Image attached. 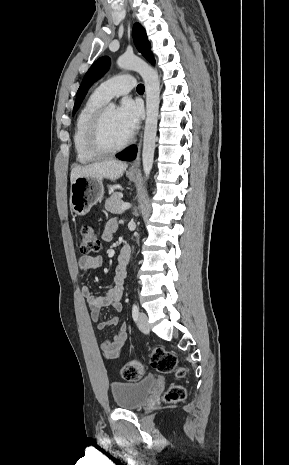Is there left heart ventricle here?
<instances>
[{
  "label": "left heart ventricle",
  "instance_id": "left-heart-ventricle-1",
  "mask_svg": "<svg viewBox=\"0 0 289 465\" xmlns=\"http://www.w3.org/2000/svg\"><path fill=\"white\" fill-rule=\"evenodd\" d=\"M128 137L123 132L117 117V109L110 107L104 120V140L110 146L123 143Z\"/></svg>",
  "mask_w": 289,
  "mask_h": 465
}]
</instances>
